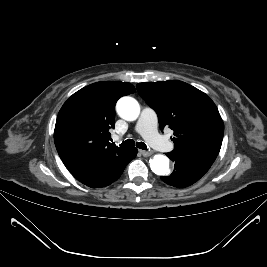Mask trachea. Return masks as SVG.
Wrapping results in <instances>:
<instances>
[{
  "label": "trachea",
  "mask_w": 267,
  "mask_h": 267,
  "mask_svg": "<svg viewBox=\"0 0 267 267\" xmlns=\"http://www.w3.org/2000/svg\"><path fill=\"white\" fill-rule=\"evenodd\" d=\"M120 146L122 147H131V146H135V141L132 140V139H127L125 141H123ZM136 146L140 149H143V150H147V146L145 143L143 142H137L136 143Z\"/></svg>",
  "instance_id": "3493384b"
}]
</instances>
